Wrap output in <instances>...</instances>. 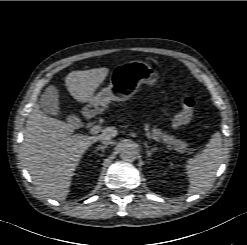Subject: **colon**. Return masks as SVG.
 Returning <instances> with one entry per match:
<instances>
[{"mask_svg":"<svg viewBox=\"0 0 247 245\" xmlns=\"http://www.w3.org/2000/svg\"><path fill=\"white\" fill-rule=\"evenodd\" d=\"M181 110L172 119V125L176 128L187 125L195 111V100L190 95H183L180 99Z\"/></svg>","mask_w":247,"mask_h":245,"instance_id":"1","label":"colon"}]
</instances>
